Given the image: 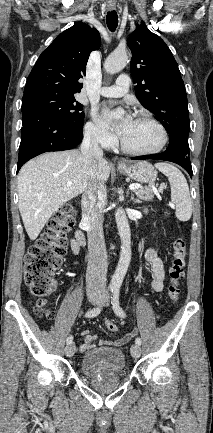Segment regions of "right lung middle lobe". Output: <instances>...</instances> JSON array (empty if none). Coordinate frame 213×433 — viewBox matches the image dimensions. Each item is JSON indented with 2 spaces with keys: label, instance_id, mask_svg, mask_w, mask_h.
Returning a JSON list of instances; mask_svg holds the SVG:
<instances>
[{
  "label": "right lung middle lobe",
  "instance_id": "1",
  "mask_svg": "<svg viewBox=\"0 0 213 433\" xmlns=\"http://www.w3.org/2000/svg\"><path fill=\"white\" fill-rule=\"evenodd\" d=\"M27 109L42 111L77 130L83 129V105L76 101L74 95L42 92L23 96L22 111Z\"/></svg>",
  "mask_w": 213,
  "mask_h": 433
}]
</instances>
